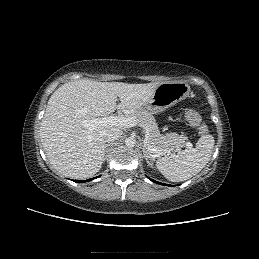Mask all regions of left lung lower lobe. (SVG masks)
Masks as SVG:
<instances>
[{
	"instance_id": "0a47b994",
	"label": "left lung lower lobe",
	"mask_w": 259,
	"mask_h": 259,
	"mask_svg": "<svg viewBox=\"0 0 259 259\" xmlns=\"http://www.w3.org/2000/svg\"><path fill=\"white\" fill-rule=\"evenodd\" d=\"M150 179V178H149ZM151 181H153V182H155V183H157V184H161V185H165V184H162V183H160V182H157V181H155V180H153V179H150Z\"/></svg>"
}]
</instances>
